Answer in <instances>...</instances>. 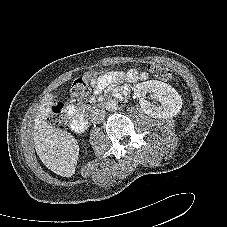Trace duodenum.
Wrapping results in <instances>:
<instances>
[{
  "instance_id": "duodenum-1",
  "label": "duodenum",
  "mask_w": 227,
  "mask_h": 227,
  "mask_svg": "<svg viewBox=\"0 0 227 227\" xmlns=\"http://www.w3.org/2000/svg\"><path fill=\"white\" fill-rule=\"evenodd\" d=\"M69 117L72 121V127L76 132L81 133L88 129V120L84 116L75 113L73 108L69 110Z\"/></svg>"
}]
</instances>
